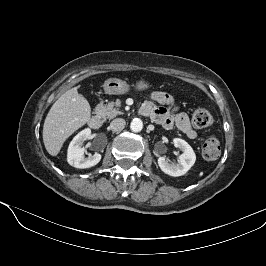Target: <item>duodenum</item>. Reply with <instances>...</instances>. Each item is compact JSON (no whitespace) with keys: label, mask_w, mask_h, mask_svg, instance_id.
Here are the masks:
<instances>
[{"label":"duodenum","mask_w":266,"mask_h":266,"mask_svg":"<svg viewBox=\"0 0 266 266\" xmlns=\"http://www.w3.org/2000/svg\"><path fill=\"white\" fill-rule=\"evenodd\" d=\"M88 124L93 129H98L102 125V116L99 112L94 113L88 120Z\"/></svg>","instance_id":"1"}]
</instances>
